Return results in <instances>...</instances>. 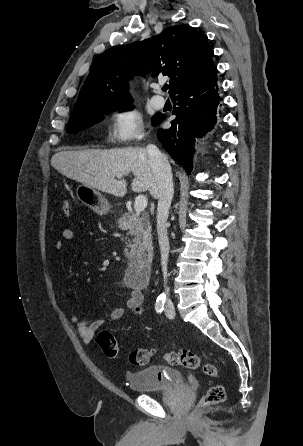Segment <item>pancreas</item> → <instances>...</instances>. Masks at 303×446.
Segmentation results:
<instances>
[{
	"label": "pancreas",
	"mask_w": 303,
	"mask_h": 446,
	"mask_svg": "<svg viewBox=\"0 0 303 446\" xmlns=\"http://www.w3.org/2000/svg\"><path fill=\"white\" fill-rule=\"evenodd\" d=\"M117 224L118 228L128 230V235L133 236L124 251L128 259L139 258L144 256L145 252L152 251V229L147 214L139 216L128 212L118 219Z\"/></svg>",
	"instance_id": "1"
}]
</instances>
